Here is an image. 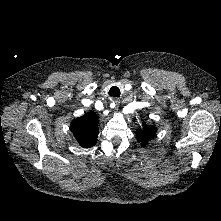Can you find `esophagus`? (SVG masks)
Returning a JSON list of instances; mask_svg holds the SVG:
<instances>
[{
    "label": "esophagus",
    "instance_id": "esophagus-1",
    "mask_svg": "<svg viewBox=\"0 0 221 221\" xmlns=\"http://www.w3.org/2000/svg\"><path fill=\"white\" fill-rule=\"evenodd\" d=\"M114 104L116 105V109L118 108L119 104H120V99L119 98H115L113 100Z\"/></svg>",
    "mask_w": 221,
    "mask_h": 221
}]
</instances>
